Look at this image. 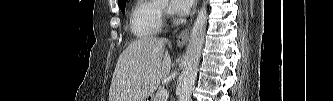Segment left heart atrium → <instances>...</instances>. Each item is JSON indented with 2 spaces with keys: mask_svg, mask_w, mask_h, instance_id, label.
I'll list each match as a JSON object with an SVG mask.
<instances>
[{
  "mask_svg": "<svg viewBox=\"0 0 333 101\" xmlns=\"http://www.w3.org/2000/svg\"><path fill=\"white\" fill-rule=\"evenodd\" d=\"M192 2V0H172L169 9L174 14L182 15L189 11Z\"/></svg>",
  "mask_w": 333,
  "mask_h": 101,
  "instance_id": "39dd6f15",
  "label": "left heart atrium"
}]
</instances>
